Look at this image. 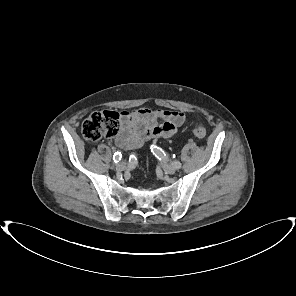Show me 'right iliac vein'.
I'll use <instances>...</instances> for the list:
<instances>
[{
	"instance_id": "63e3f726",
	"label": "right iliac vein",
	"mask_w": 296,
	"mask_h": 296,
	"mask_svg": "<svg viewBox=\"0 0 296 296\" xmlns=\"http://www.w3.org/2000/svg\"><path fill=\"white\" fill-rule=\"evenodd\" d=\"M125 168H126V164L123 163V162L119 163V164L117 165V167H116V169H117L118 171H123V170H125Z\"/></svg>"
}]
</instances>
